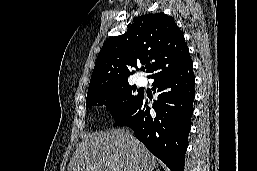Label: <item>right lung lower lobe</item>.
Masks as SVG:
<instances>
[{"label":"right lung lower lobe","mask_w":257,"mask_h":171,"mask_svg":"<svg viewBox=\"0 0 257 171\" xmlns=\"http://www.w3.org/2000/svg\"><path fill=\"white\" fill-rule=\"evenodd\" d=\"M158 93L151 111L142 95L114 126H128L135 136L171 171H183L191 128L195 76L191 58L184 64L152 77Z\"/></svg>","instance_id":"98d812e1"}]
</instances>
